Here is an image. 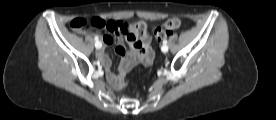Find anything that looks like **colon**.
<instances>
[{
  "label": "colon",
  "instance_id": "obj_1",
  "mask_svg": "<svg viewBox=\"0 0 276 120\" xmlns=\"http://www.w3.org/2000/svg\"><path fill=\"white\" fill-rule=\"evenodd\" d=\"M182 22L178 18L166 19L161 27L153 29V34L157 39H163L169 36L173 31L178 29ZM70 27L75 32L84 31L90 27L105 30L108 27V22L100 17H93L91 19L76 18L71 21ZM121 33L129 40L143 39L147 37V25L143 21H133L125 23L121 26ZM116 85L125 87L127 82L121 83V80Z\"/></svg>",
  "mask_w": 276,
  "mask_h": 120
}]
</instances>
